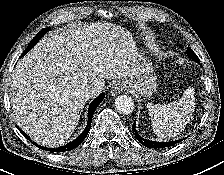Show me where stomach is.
<instances>
[{
  "mask_svg": "<svg viewBox=\"0 0 224 175\" xmlns=\"http://www.w3.org/2000/svg\"><path fill=\"white\" fill-rule=\"evenodd\" d=\"M137 65L138 73L132 80L128 81V87L135 93L149 97L156 91L158 86L153 64L144 53L139 52Z\"/></svg>",
  "mask_w": 224,
  "mask_h": 175,
  "instance_id": "0dacf381",
  "label": "stomach"
}]
</instances>
